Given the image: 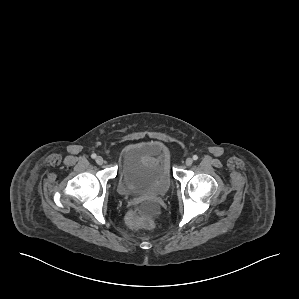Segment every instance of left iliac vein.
<instances>
[{
	"mask_svg": "<svg viewBox=\"0 0 299 299\" xmlns=\"http://www.w3.org/2000/svg\"><path fill=\"white\" fill-rule=\"evenodd\" d=\"M185 163H186L187 166L192 165V163H193L192 158H187L186 161H185Z\"/></svg>",
	"mask_w": 299,
	"mask_h": 299,
	"instance_id": "4c4485c4",
	"label": "left iliac vein"
}]
</instances>
